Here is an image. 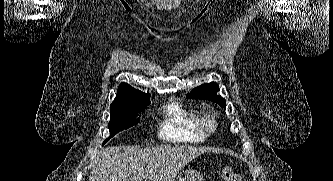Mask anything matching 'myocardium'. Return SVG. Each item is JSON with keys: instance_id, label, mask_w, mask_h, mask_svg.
Wrapping results in <instances>:
<instances>
[{"instance_id": "myocardium-1", "label": "myocardium", "mask_w": 333, "mask_h": 181, "mask_svg": "<svg viewBox=\"0 0 333 181\" xmlns=\"http://www.w3.org/2000/svg\"><path fill=\"white\" fill-rule=\"evenodd\" d=\"M217 120L214 115L206 114L200 118V128L204 134H212L217 130Z\"/></svg>"}]
</instances>
